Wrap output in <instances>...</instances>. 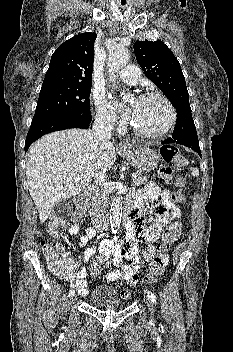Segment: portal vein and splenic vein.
Instances as JSON below:
<instances>
[{"label":"portal vein and splenic vein","instance_id":"1","mask_svg":"<svg viewBox=\"0 0 233 352\" xmlns=\"http://www.w3.org/2000/svg\"><path fill=\"white\" fill-rule=\"evenodd\" d=\"M132 177H133V178H136V177H137V174H136V173H133V174H132Z\"/></svg>","mask_w":233,"mask_h":352}]
</instances>
